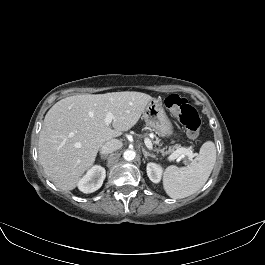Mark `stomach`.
<instances>
[{
    "label": "stomach",
    "instance_id": "stomach-1",
    "mask_svg": "<svg viewBox=\"0 0 265 265\" xmlns=\"http://www.w3.org/2000/svg\"><path fill=\"white\" fill-rule=\"evenodd\" d=\"M146 124L159 136H170L173 126L166 115L162 102L159 99H152L143 111Z\"/></svg>",
    "mask_w": 265,
    "mask_h": 265
}]
</instances>
